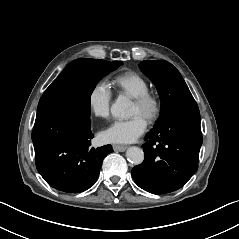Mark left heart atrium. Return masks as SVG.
Masks as SVG:
<instances>
[{
	"mask_svg": "<svg viewBox=\"0 0 239 239\" xmlns=\"http://www.w3.org/2000/svg\"><path fill=\"white\" fill-rule=\"evenodd\" d=\"M147 119L137 113L129 119L116 120L101 132V138L108 143H129L135 141L147 128Z\"/></svg>",
	"mask_w": 239,
	"mask_h": 239,
	"instance_id": "39dd6f15",
	"label": "left heart atrium"
}]
</instances>
